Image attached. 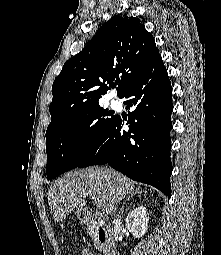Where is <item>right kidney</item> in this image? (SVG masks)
Masks as SVG:
<instances>
[{
    "label": "right kidney",
    "instance_id": "ca27d5eb",
    "mask_svg": "<svg viewBox=\"0 0 221 255\" xmlns=\"http://www.w3.org/2000/svg\"><path fill=\"white\" fill-rule=\"evenodd\" d=\"M147 210L144 206H139L132 210L126 217V228L137 238L142 237L148 228Z\"/></svg>",
    "mask_w": 221,
    "mask_h": 255
}]
</instances>
